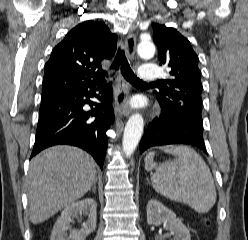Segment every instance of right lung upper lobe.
Segmentation results:
<instances>
[{
  "mask_svg": "<svg viewBox=\"0 0 248 240\" xmlns=\"http://www.w3.org/2000/svg\"><path fill=\"white\" fill-rule=\"evenodd\" d=\"M116 45V36L103 21L89 20L74 27L45 65L42 97L105 82L101 61L114 55Z\"/></svg>",
  "mask_w": 248,
  "mask_h": 240,
  "instance_id": "right-lung-upper-lobe-1",
  "label": "right lung upper lobe"
}]
</instances>
